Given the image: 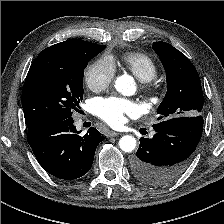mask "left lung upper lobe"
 <instances>
[{"mask_svg": "<svg viewBox=\"0 0 224 224\" xmlns=\"http://www.w3.org/2000/svg\"><path fill=\"white\" fill-rule=\"evenodd\" d=\"M152 48L162 61L167 79V92L157 109L158 120L201 115L204 98L194 65L166 42H154Z\"/></svg>", "mask_w": 224, "mask_h": 224, "instance_id": "left-lung-upper-lobe-1", "label": "left lung upper lobe"}]
</instances>
